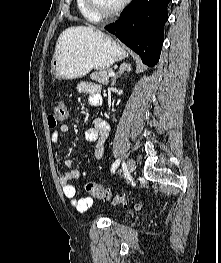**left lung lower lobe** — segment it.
I'll return each instance as SVG.
<instances>
[{
    "label": "left lung lower lobe",
    "mask_w": 221,
    "mask_h": 263,
    "mask_svg": "<svg viewBox=\"0 0 221 263\" xmlns=\"http://www.w3.org/2000/svg\"><path fill=\"white\" fill-rule=\"evenodd\" d=\"M169 2L170 0H132L120 18L105 26V29L139 54L144 64L154 66L160 57Z\"/></svg>",
    "instance_id": "left-lung-lower-lobe-1"
}]
</instances>
